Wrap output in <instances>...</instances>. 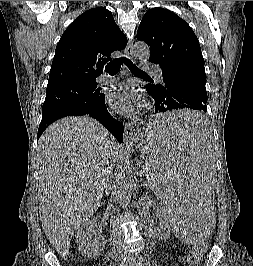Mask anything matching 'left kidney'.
I'll list each match as a JSON object with an SVG mask.
<instances>
[{"instance_id": "left-kidney-1", "label": "left kidney", "mask_w": 253, "mask_h": 266, "mask_svg": "<svg viewBox=\"0 0 253 266\" xmlns=\"http://www.w3.org/2000/svg\"><path fill=\"white\" fill-rule=\"evenodd\" d=\"M161 224H162V226H163V228L165 230L168 229V232L171 231L172 225H171L170 221L166 217L161 221ZM157 235H159V236H161L163 238L167 234L163 233V234H157Z\"/></svg>"}]
</instances>
